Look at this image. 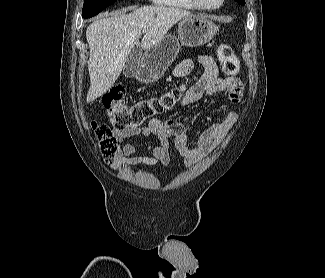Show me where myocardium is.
Wrapping results in <instances>:
<instances>
[{
    "instance_id": "obj_1",
    "label": "myocardium",
    "mask_w": 325,
    "mask_h": 278,
    "mask_svg": "<svg viewBox=\"0 0 325 278\" xmlns=\"http://www.w3.org/2000/svg\"><path fill=\"white\" fill-rule=\"evenodd\" d=\"M192 1L198 8L203 9V10H209V11L217 10V9L221 8L223 6V4L225 3V0H221L219 2V4L216 6H207V5L203 4L201 0H192Z\"/></svg>"
}]
</instances>
